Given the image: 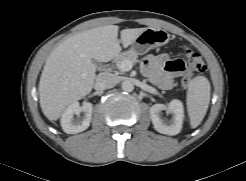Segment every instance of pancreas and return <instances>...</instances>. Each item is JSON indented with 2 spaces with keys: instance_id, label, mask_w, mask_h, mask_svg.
Listing matches in <instances>:
<instances>
[{
  "instance_id": "1",
  "label": "pancreas",
  "mask_w": 246,
  "mask_h": 181,
  "mask_svg": "<svg viewBox=\"0 0 246 181\" xmlns=\"http://www.w3.org/2000/svg\"><path fill=\"white\" fill-rule=\"evenodd\" d=\"M137 57H138V55L134 51L130 50V51L123 52L116 57V59H115L116 65L119 66L125 60H129L132 63H134L137 61Z\"/></svg>"
}]
</instances>
